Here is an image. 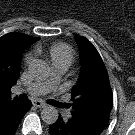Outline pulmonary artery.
<instances>
[{
	"mask_svg": "<svg viewBox=\"0 0 135 135\" xmlns=\"http://www.w3.org/2000/svg\"><path fill=\"white\" fill-rule=\"evenodd\" d=\"M66 70H67L66 67L56 66L54 67V70H53L54 75H53L51 83H31V84L25 85L24 87L16 88L14 90V93L18 94L21 92H26L33 96L44 94L54 85V83H56L62 77V75L66 72ZM70 116L71 114L68 113L67 117H70Z\"/></svg>",
	"mask_w": 135,
	"mask_h": 135,
	"instance_id": "e3ab8cb5",
	"label": "pulmonary artery"
}]
</instances>
